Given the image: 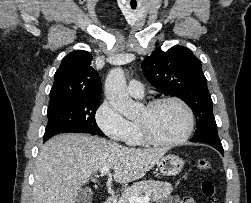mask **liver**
Here are the masks:
<instances>
[{
  "label": "liver",
  "mask_w": 251,
  "mask_h": 203,
  "mask_svg": "<svg viewBox=\"0 0 251 203\" xmlns=\"http://www.w3.org/2000/svg\"><path fill=\"white\" fill-rule=\"evenodd\" d=\"M167 151L127 148L87 134L54 136L37 157L33 203H75L82 187L102 167L114 169L117 183L141 179Z\"/></svg>",
  "instance_id": "1"
}]
</instances>
